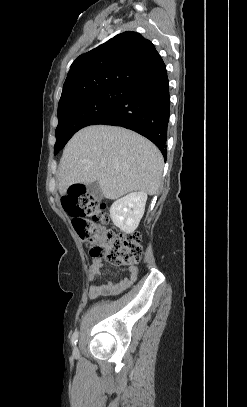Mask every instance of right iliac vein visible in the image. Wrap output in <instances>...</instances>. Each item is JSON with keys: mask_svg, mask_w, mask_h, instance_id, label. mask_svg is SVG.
<instances>
[{"mask_svg": "<svg viewBox=\"0 0 247 407\" xmlns=\"http://www.w3.org/2000/svg\"><path fill=\"white\" fill-rule=\"evenodd\" d=\"M73 353H74V354H77V353H78V349H77L76 347L73 349Z\"/></svg>", "mask_w": 247, "mask_h": 407, "instance_id": "1", "label": "right iliac vein"}]
</instances>
